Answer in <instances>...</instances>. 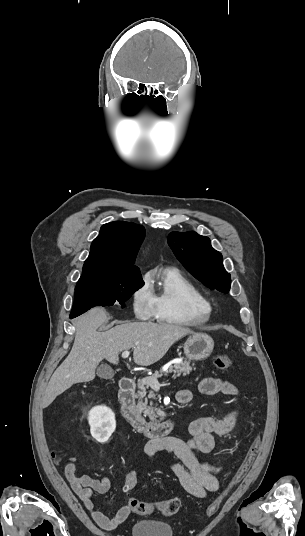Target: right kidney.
<instances>
[{
    "label": "right kidney",
    "instance_id": "1",
    "mask_svg": "<svg viewBox=\"0 0 305 536\" xmlns=\"http://www.w3.org/2000/svg\"><path fill=\"white\" fill-rule=\"evenodd\" d=\"M89 426L91 436L97 442H101V444L108 442L116 428L114 412L105 406L93 408L89 414Z\"/></svg>",
    "mask_w": 305,
    "mask_h": 536
}]
</instances>
